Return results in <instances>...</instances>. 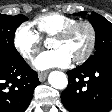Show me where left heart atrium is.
Returning <instances> with one entry per match:
<instances>
[{"mask_svg": "<svg viewBox=\"0 0 112 112\" xmlns=\"http://www.w3.org/2000/svg\"><path fill=\"white\" fill-rule=\"evenodd\" d=\"M71 58L61 49H52L39 54L33 60V66L38 70H46L52 67H66Z\"/></svg>", "mask_w": 112, "mask_h": 112, "instance_id": "39dd6f15", "label": "left heart atrium"}]
</instances>
